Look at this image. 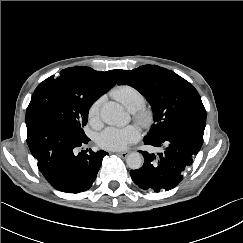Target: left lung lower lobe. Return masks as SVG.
Listing matches in <instances>:
<instances>
[{
  "instance_id": "1",
  "label": "left lung lower lobe",
  "mask_w": 243,
  "mask_h": 243,
  "mask_svg": "<svg viewBox=\"0 0 243 243\" xmlns=\"http://www.w3.org/2000/svg\"><path fill=\"white\" fill-rule=\"evenodd\" d=\"M205 125L206 112L190 114L175 122L159 140H143L146 145L164 149L157 155L140 151L144 164L130 171L133 182L155 192L176 187L202 146Z\"/></svg>"
}]
</instances>
